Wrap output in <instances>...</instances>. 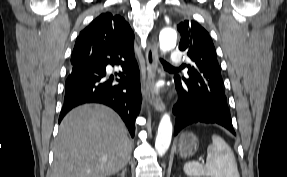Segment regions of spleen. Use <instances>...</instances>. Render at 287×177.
Masks as SVG:
<instances>
[{"label":"spleen","mask_w":287,"mask_h":177,"mask_svg":"<svg viewBox=\"0 0 287 177\" xmlns=\"http://www.w3.org/2000/svg\"><path fill=\"white\" fill-rule=\"evenodd\" d=\"M183 170L189 177H240L232 149L218 135L207 148L206 164L187 162Z\"/></svg>","instance_id":"obj_1"}]
</instances>
